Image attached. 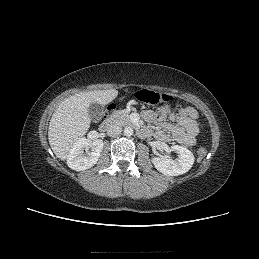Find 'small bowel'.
<instances>
[{
  "instance_id": "1",
  "label": "small bowel",
  "mask_w": 259,
  "mask_h": 259,
  "mask_svg": "<svg viewBox=\"0 0 259 259\" xmlns=\"http://www.w3.org/2000/svg\"><path fill=\"white\" fill-rule=\"evenodd\" d=\"M142 117L158 127L155 137L164 142L175 141L182 145L193 146L201 128L198 113L192 107H184L176 114L166 109L144 110ZM167 118L171 122H167Z\"/></svg>"
}]
</instances>
